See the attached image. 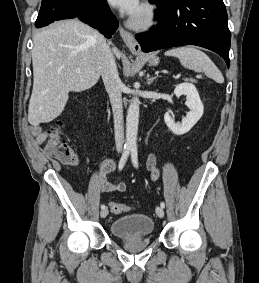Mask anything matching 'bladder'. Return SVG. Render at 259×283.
<instances>
[{
	"label": "bladder",
	"mask_w": 259,
	"mask_h": 283,
	"mask_svg": "<svg viewBox=\"0 0 259 283\" xmlns=\"http://www.w3.org/2000/svg\"><path fill=\"white\" fill-rule=\"evenodd\" d=\"M153 221L144 214H133L115 220L110 227L111 233L119 238H141L151 235Z\"/></svg>",
	"instance_id": "31cf9c89"
}]
</instances>
